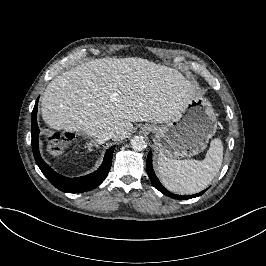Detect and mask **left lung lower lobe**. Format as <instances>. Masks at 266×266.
Segmentation results:
<instances>
[{"label": "left lung lower lobe", "instance_id": "1", "mask_svg": "<svg viewBox=\"0 0 266 266\" xmlns=\"http://www.w3.org/2000/svg\"><path fill=\"white\" fill-rule=\"evenodd\" d=\"M146 170L147 173L149 175V178L152 182V184L154 185V187L156 189H158L160 192H162L163 194L173 198V199H191L193 197H198L200 195H202L206 190L198 193V194H194V195H189V196H182V195H175L170 193L168 190H166L162 184L160 183V181L158 180V178L156 177L154 170L152 168V153L149 152L148 157H147V164H146Z\"/></svg>", "mask_w": 266, "mask_h": 266}]
</instances>
